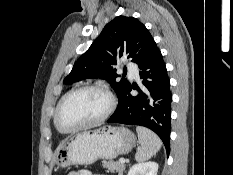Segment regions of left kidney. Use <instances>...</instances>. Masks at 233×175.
<instances>
[{"label":"left kidney","mask_w":233,"mask_h":175,"mask_svg":"<svg viewBox=\"0 0 233 175\" xmlns=\"http://www.w3.org/2000/svg\"><path fill=\"white\" fill-rule=\"evenodd\" d=\"M158 164L153 161L133 165L127 175H157Z\"/></svg>","instance_id":"obj_1"}]
</instances>
